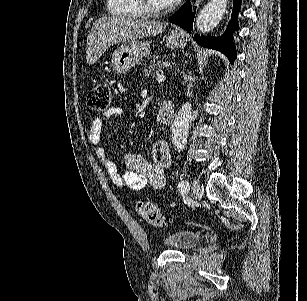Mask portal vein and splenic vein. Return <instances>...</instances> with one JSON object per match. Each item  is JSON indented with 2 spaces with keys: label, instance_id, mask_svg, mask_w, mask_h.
<instances>
[{
  "label": "portal vein and splenic vein",
  "instance_id": "18ae733b",
  "mask_svg": "<svg viewBox=\"0 0 307 301\" xmlns=\"http://www.w3.org/2000/svg\"><path fill=\"white\" fill-rule=\"evenodd\" d=\"M157 80H165L164 74H157Z\"/></svg>",
  "mask_w": 307,
  "mask_h": 301
}]
</instances>
